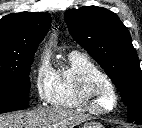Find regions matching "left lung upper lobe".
Wrapping results in <instances>:
<instances>
[{
  "label": "left lung upper lobe",
  "mask_w": 142,
  "mask_h": 128,
  "mask_svg": "<svg viewBox=\"0 0 142 128\" xmlns=\"http://www.w3.org/2000/svg\"><path fill=\"white\" fill-rule=\"evenodd\" d=\"M64 17L73 38L118 88L128 121L142 125V70L128 29L115 13L97 6L70 9Z\"/></svg>",
  "instance_id": "1"
}]
</instances>
